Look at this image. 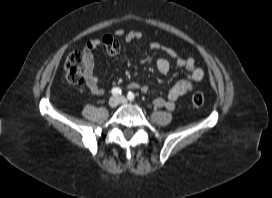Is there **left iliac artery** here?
I'll return each instance as SVG.
<instances>
[{
	"label": "left iliac artery",
	"instance_id": "obj_1",
	"mask_svg": "<svg viewBox=\"0 0 272 198\" xmlns=\"http://www.w3.org/2000/svg\"><path fill=\"white\" fill-rule=\"evenodd\" d=\"M127 98H128L130 101L134 100V98H135L134 93L129 92V93L127 94Z\"/></svg>",
	"mask_w": 272,
	"mask_h": 198
}]
</instances>
